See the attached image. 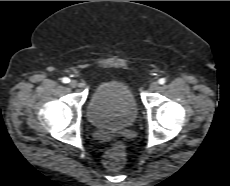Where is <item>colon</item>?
Segmentation results:
<instances>
[{
	"label": "colon",
	"mask_w": 230,
	"mask_h": 186,
	"mask_svg": "<svg viewBox=\"0 0 230 186\" xmlns=\"http://www.w3.org/2000/svg\"><path fill=\"white\" fill-rule=\"evenodd\" d=\"M126 158L127 152L124 144L117 142L104 153L102 161L107 169L116 171L125 165Z\"/></svg>",
	"instance_id": "1"
}]
</instances>
